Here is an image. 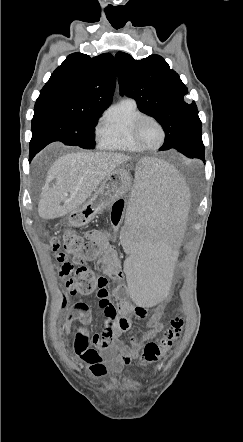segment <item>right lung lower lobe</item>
<instances>
[{
    "label": "right lung lower lobe",
    "instance_id": "obj_1",
    "mask_svg": "<svg viewBox=\"0 0 243 442\" xmlns=\"http://www.w3.org/2000/svg\"><path fill=\"white\" fill-rule=\"evenodd\" d=\"M51 143V140L47 139H31L30 142V159L34 157V155L39 152L41 149H43L46 145Z\"/></svg>",
    "mask_w": 243,
    "mask_h": 442
}]
</instances>
